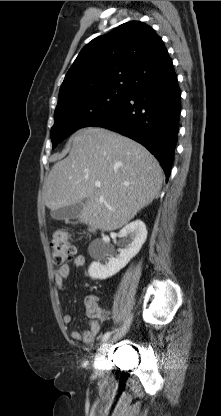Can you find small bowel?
<instances>
[{
  "instance_id": "small-bowel-1",
  "label": "small bowel",
  "mask_w": 221,
  "mask_h": 416,
  "mask_svg": "<svg viewBox=\"0 0 221 416\" xmlns=\"http://www.w3.org/2000/svg\"><path fill=\"white\" fill-rule=\"evenodd\" d=\"M85 258L83 255H76L72 260V266L75 268L83 267ZM70 265L68 263L60 264L54 271V281L58 289L62 290L64 287V280L69 275ZM86 315L90 319L88 329L79 331L72 329L70 337L75 341H81L86 345H91L100 331V324L106 321L109 316L108 312L100 308L94 298H88L85 301ZM64 324H70L72 316L70 313L62 315Z\"/></svg>"
}]
</instances>
